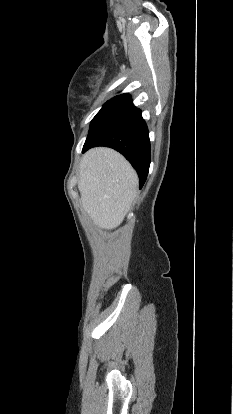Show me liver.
Returning a JSON list of instances; mask_svg holds the SVG:
<instances>
[{
  "instance_id": "liver-1",
  "label": "liver",
  "mask_w": 233,
  "mask_h": 414,
  "mask_svg": "<svg viewBox=\"0 0 233 414\" xmlns=\"http://www.w3.org/2000/svg\"><path fill=\"white\" fill-rule=\"evenodd\" d=\"M139 179L117 151L96 147L80 162L78 189L83 209L93 223L111 230L119 226L136 196Z\"/></svg>"
}]
</instances>
